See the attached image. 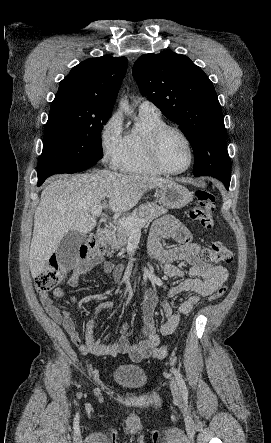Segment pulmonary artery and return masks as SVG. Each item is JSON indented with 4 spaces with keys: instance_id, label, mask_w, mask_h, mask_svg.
I'll return each instance as SVG.
<instances>
[{
    "instance_id": "e3ab8cb5",
    "label": "pulmonary artery",
    "mask_w": 271,
    "mask_h": 443,
    "mask_svg": "<svg viewBox=\"0 0 271 443\" xmlns=\"http://www.w3.org/2000/svg\"><path fill=\"white\" fill-rule=\"evenodd\" d=\"M139 112L160 115V110L158 109V107L153 102L146 99H142L140 101Z\"/></svg>"
}]
</instances>
